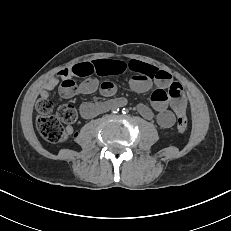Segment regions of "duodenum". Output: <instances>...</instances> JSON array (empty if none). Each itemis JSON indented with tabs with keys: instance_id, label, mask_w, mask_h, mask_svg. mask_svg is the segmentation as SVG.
I'll return each instance as SVG.
<instances>
[{
	"instance_id": "410a0bca",
	"label": "duodenum",
	"mask_w": 231,
	"mask_h": 231,
	"mask_svg": "<svg viewBox=\"0 0 231 231\" xmlns=\"http://www.w3.org/2000/svg\"><path fill=\"white\" fill-rule=\"evenodd\" d=\"M116 104H115V102H113V101H110V102H108L107 103V106L108 107H113V106H115Z\"/></svg>"
}]
</instances>
